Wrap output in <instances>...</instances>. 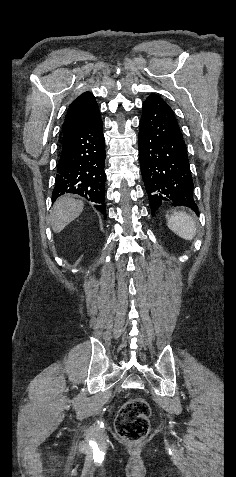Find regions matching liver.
<instances>
[{"label":"liver","instance_id":"6515ba94","mask_svg":"<svg viewBox=\"0 0 236 477\" xmlns=\"http://www.w3.org/2000/svg\"><path fill=\"white\" fill-rule=\"evenodd\" d=\"M84 204L70 195H64L56 200L51 211V227L55 233L61 232L69 223L75 220L83 211Z\"/></svg>","mask_w":236,"mask_h":477}]
</instances>
